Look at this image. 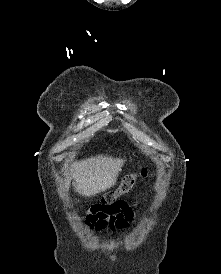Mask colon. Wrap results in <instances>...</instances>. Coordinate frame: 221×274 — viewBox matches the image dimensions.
Instances as JSON below:
<instances>
[{
	"mask_svg": "<svg viewBox=\"0 0 221 274\" xmlns=\"http://www.w3.org/2000/svg\"><path fill=\"white\" fill-rule=\"evenodd\" d=\"M147 176H148V171L146 169H143L140 173H137V174H128V175H126L122 179L118 189L115 190V191L110 192L109 194H107L104 197L102 203L111 204V203L117 201V198L120 195L128 193L133 189V187H134V185H135V183H136V181L139 177L146 178Z\"/></svg>",
	"mask_w": 221,
	"mask_h": 274,
	"instance_id": "1",
	"label": "colon"
}]
</instances>
